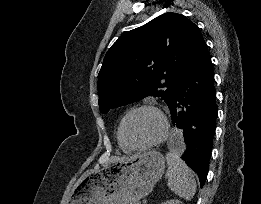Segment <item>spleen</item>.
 Masks as SVG:
<instances>
[{"label": "spleen", "mask_w": 261, "mask_h": 204, "mask_svg": "<svg viewBox=\"0 0 261 204\" xmlns=\"http://www.w3.org/2000/svg\"><path fill=\"white\" fill-rule=\"evenodd\" d=\"M168 187L179 197L189 201L196 192V181L189 167L175 153H167Z\"/></svg>", "instance_id": "spleen-1"}]
</instances>
